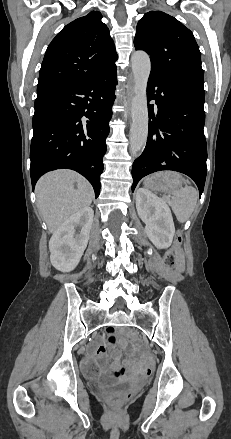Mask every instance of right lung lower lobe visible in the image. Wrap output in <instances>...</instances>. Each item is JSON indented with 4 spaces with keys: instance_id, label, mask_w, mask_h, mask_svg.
Segmentation results:
<instances>
[{
    "instance_id": "98d812e1",
    "label": "right lung lower lobe",
    "mask_w": 231,
    "mask_h": 439,
    "mask_svg": "<svg viewBox=\"0 0 231 439\" xmlns=\"http://www.w3.org/2000/svg\"><path fill=\"white\" fill-rule=\"evenodd\" d=\"M116 66L79 85L37 93L30 149L32 187L46 172L68 168L100 193V175L112 116Z\"/></svg>"
}]
</instances>
